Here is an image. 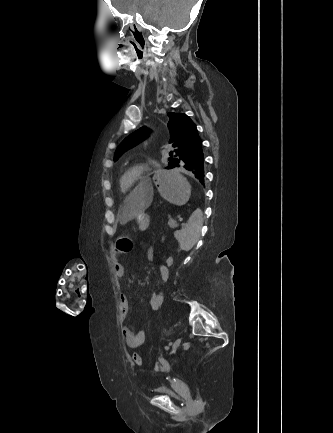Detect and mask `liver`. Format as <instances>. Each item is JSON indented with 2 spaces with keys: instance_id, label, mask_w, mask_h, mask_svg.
Segmentation results:
<instances>
[{
  "instance_id": "1",
  "label": "liver",
  "mask_w": 333,
  "mask_h": 433,
  "mask_svg": "<svg viewBox=\"0 0 333 433\" xmlns=\"http://www.w3.org/2000/svg\"><path fill=\"white\" fill-rule=\"evenodd\" d=\"M152 190V183H137V192L129 193L130 201H119L121 225L126 224L129 220H134L136 215H142L144 210H148V201L153 199Z\"/></svg>"
}]
</instances>
